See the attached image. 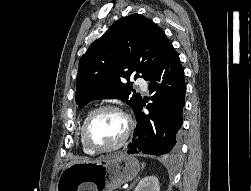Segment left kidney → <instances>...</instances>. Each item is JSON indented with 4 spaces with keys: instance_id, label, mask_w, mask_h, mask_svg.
I'll use <instances>...</instances> for the list:
<instances>
[{
    "instance_id": "5707ae66",
    "label": "left kidney",
    "mask_w": 251,
    "mask_h": 191,
    "mask_svg": "<svg viewBox=\"0 0 251 191\" xmlns=\"http://www.w3.org/2000/svg\"><path fill=\"white\" fill-rule=\"evenodd\" d=\"M134 191H160L159 179L156 175H147L140 179Z\"/></svg>"
}]
</instances>
